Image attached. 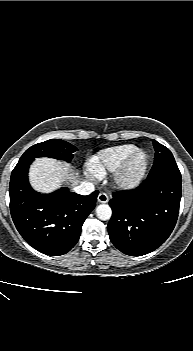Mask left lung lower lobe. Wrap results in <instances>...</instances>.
<instances>
[{"label": "left lung lower lobe", "mask_w": 193, "mask_h": 351, "mask_svg": "<svg viewBox=\"0 0 193 351\" xmlns=\"http://www.w3.org/2000/svg\"><path fill=\"white\" fill-rule=\"evenodd\" d=\"M179 169L147 177L139 187L114 193L109 237L117 249L141 256L157 249L175 227L181 200Z\"/></svg>", "instance_id": "0a47b994"}]
</instances>
